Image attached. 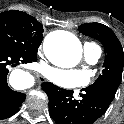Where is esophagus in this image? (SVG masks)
<instances>
[{
	"label": "esophagus",
	"instance_id": "obj_1",
	"mask_svg": "<svg viewBox=\"0 0 124 124\" xmlns=\"http://www.w3.org/2000/svg\"><path fill=\"white\" fill-rule=\"evenodd\" d=\"M43 80H44V77L40 76L39 81H43Z\"/></svg>",
	"mask_w": 124,
	"mask_h": 124
}]
</instances>
